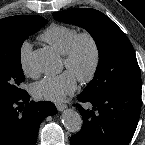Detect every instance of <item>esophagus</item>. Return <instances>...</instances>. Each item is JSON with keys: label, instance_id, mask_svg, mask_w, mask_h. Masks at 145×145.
I'll use <instances>...</instances> for the list:
<instances>
[{"label": "esophagus", "instance_id": "1", "mask_svg": "<svg viewBox=\"0 0 145 145\" xmlns=\"http://www.w3.org/2000/svg\"><path fill=\"white\" fill-rule=\"evenodd\" d=\"M56 107L59 111H63L67 106L63 103H56Z\"/></svg>", "mask_w": 145, "mask_h": 145}]
</instances>
